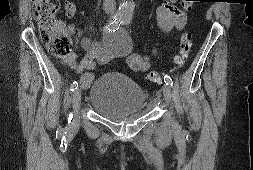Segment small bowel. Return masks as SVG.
I'll list each match as a JSON object with an SVG mask.
<instances>
[{
	"label": "small bowel",
	"instance_id": "obj_1",
	"mask_svg": "<svg viewBox=\"0 0 253 170\" xmlns=\"http://www.w3.org/2000/svg\"><path fill=\"white\" fill-rule=\"evenodd\" d=\"M184 0H164L163 4L157 8V21L161 30H181L186 23V12L176 6L178 2ZM64 14L67 18H72L76 12V5L72 1L65 0L63 4ZM61 27L67 34H78L73 24L61 23ZM81 47L86 51V55L76 62V56L71 55L63 60V63L71 68L76 74H80V83L83 87H88L92 82V74L88 72L95 68L96 64H102L117 55L108 48L105 43L91 38H82ZM126 62L133 72H145L149 69L148 58L138 53L126 55Z\"/></svg>",
	"mask_w": 253,
	"mask_h": 170
}]
</instances>
